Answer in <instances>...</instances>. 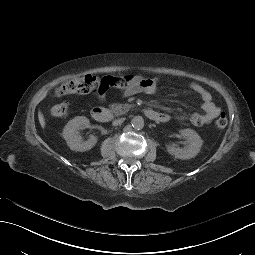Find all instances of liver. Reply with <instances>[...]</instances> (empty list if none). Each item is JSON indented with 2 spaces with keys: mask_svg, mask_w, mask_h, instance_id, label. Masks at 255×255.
<instances>
[{
  "mask_svg": "<svg viewBox=\"0 0 255 255\" xmlns=\"http://www.w3.org/2000/svg\"><path fill=\"white\" fill-rule=\"evenodd\" d=\"M38 118H39L41 127L44 128L45 127V119H44L43 114L40 111L38 112Z\"/></svg>",
  "mask_w": 255,
  "mask_h": 255,
  "instance_id": "liver-1",
  "label": "liver"
}]
</instances>
